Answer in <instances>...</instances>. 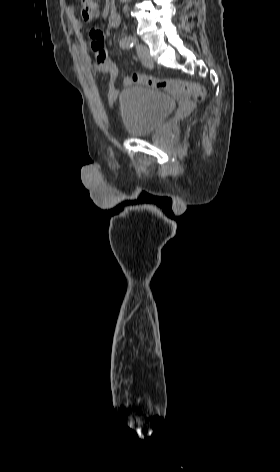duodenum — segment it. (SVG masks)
<instances>
[{
    "label": "duodenum",
    "instance_id": "1",
    "mask_svg": "<svg viewBox=\"0 0 280 472\" xmlns=\"http://www.w3.org/2000/svg\"><path fill=\"white\" fill-rule=\"evenodd\" d=\"M121 22L120 14L115 9H111L108 15V24L110 27H117Z\"/></svg>",
    "mask_w": 280,
    "mask_h": 472
}]
</instances>
